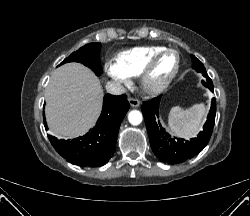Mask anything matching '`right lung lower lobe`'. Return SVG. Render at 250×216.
I'll return each mask as SVG.
<instances>
[{
	"mask_svg": "<svg viewBox=\"0 0 250 216\" xmlns=\"http://www.w3.org/2000/svg\"><path fill=\"white\" fill-rule=\"evenodd\" d=\"M130 105L126 95L107 94L102 113L92 131L73 140L48 138L56 151L68 162L82 167H100L113 156L120 124ZM44 125L47 124L44 117Z\"/></svg>",
	"mask_w": 250,
	"mask_h": 216,
	"instance_id": "98d812e1",
	"label": "right lung lower lobe"
}]
</instances>
